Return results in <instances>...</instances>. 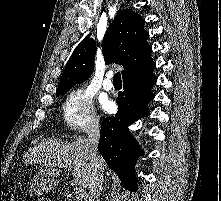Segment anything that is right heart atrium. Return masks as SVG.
<instances>
[{
	"mask_svg": "<svg viewBox=\"0 0 221 201\" xmlns=\"http://www.w3.org/2000/svg\"><path fill=\"white\" fill-rule=\"evenodd\" d=\"M61 111L64 124L72 131L90 129L98 124L93 97L84 87H76L67 94Z\"/></svg>",
	"mask_w": 221,
	"mask_h": 201,
	"instance_id": "right-heart-atrium-1",
	"label": "right heart atrium"
}]
</instances>
